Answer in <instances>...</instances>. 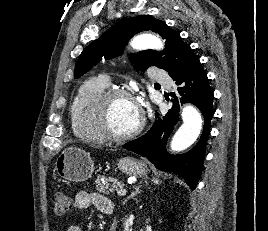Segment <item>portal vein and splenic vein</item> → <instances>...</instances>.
<instances>
[{"label":"portal vein and splenic vein","mask_w":268,"mask_h":231,"mask_svg":"<svg viewBox=\"0 0 268 231\" xmlns=\"http://www.w3.org/2000/svg\"><path fill=\"white\" fill-rule=\"evenodd\" d=\"M126 192H127L126 189H122V188H121L120 190L117 191V195H118V196H123V195L126 194Z\"/></svg>","instance_id":"portal-vein-and-splenic-vein-1"}]
</instances>
